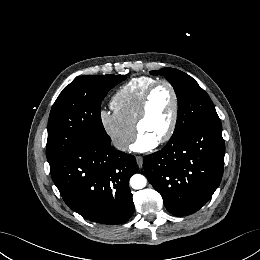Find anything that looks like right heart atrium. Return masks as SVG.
I'll return each mask as SVG.
<instances>
[{
    "label": "right heart atrium",
    "mask_w": 260,
    "mask_h": 260,
    "mask_svg": "<svg viewBox=\"0 0 260 260\" xmlns=\"http://www.w3.org/2000/svg\"><path fill=\"white\" fill-rule=\"evenodd\" d=\"M99 121L111 144L119 151H126L135 137V125L122 118L117 112L102 109Z\"/></svg>",
    "instance_id": "d8ad5b80"
}]
</instances>
